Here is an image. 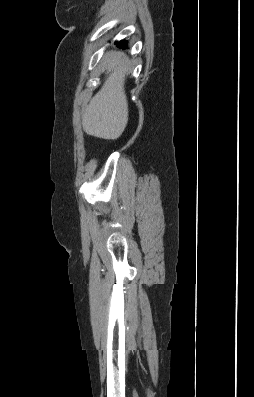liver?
<instances>
[{"instance_id":"1","label":"liver","mask_w":254,"mask_h":397,"mask_svg":"<svg viewBox=\"0 0 254 397\" xmlns=\"http://www.w3.org/2000/svg\"><path fill=\"white\" fill-rule=\"evenodd\" d=\"M122 56L123 53L110 52L105 57L104 66L109 76L82 117V127L88 135L115 140L126 128L128 103L124 84L128 71Z\"/></svg>"}]
</instances>
